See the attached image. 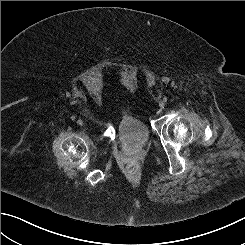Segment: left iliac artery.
I'll return each instance as SVG.
<instances>
[{
	"label": "left iliac artery",
	"instance_id": "left-iliac-artery-1",
	"mask_svg": "<svg viewBox=\"0 0 245 245\" xmlns=\"http://www.w3.org/2000/svg\"><path fill=\"white\" fill-rule=\"evenodd\" d=\"M163 101H164V102H167V98L165 97V98L163 99Z\"/></svg>",
	"mask_w": 245,
	"mask_h": 245
}]
</instances>
